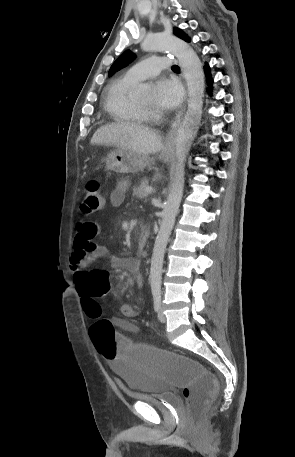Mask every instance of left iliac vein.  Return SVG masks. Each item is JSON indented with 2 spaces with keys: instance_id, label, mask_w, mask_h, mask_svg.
Returning <instances> with one entry per match:
<instances>
[{
  "instance_id": "obj_1",
  "label": "left iliac vein",
  "mask_w": 295,
  "mask_h": 457,
  "mask_svg": "<svg viewBox=\"0 0 295 457\" xmlns=\"http://www.w3.org/2000/svg\"><path fill=\"white\" fill-rule=\"evenodd\" d=\"M158 320L162 323H164L166 321V317L165 315L163 314V311L162 309L160 308L159 311H158Z\"/></svg>"
}]
</instances>
